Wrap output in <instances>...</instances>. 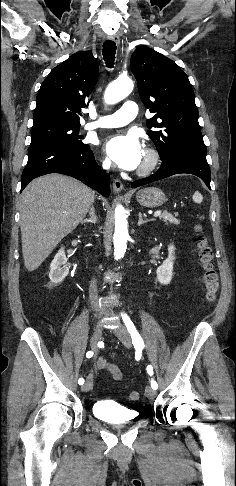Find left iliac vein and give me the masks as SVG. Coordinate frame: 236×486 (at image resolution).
Returning a JSON list of instances; mask_svg holds the SVG:
<instances>
[{
  "mask_svg": "<svg viewBox=\"0 0 236 486\" xmlns=\"http://www.w3.org/2000/svg\"><path fill=\"white\" fill-rule=\"evenodd\" d=\"M114 333L125 347H131V338L125 326L120 324L117 328L114 329ZM145 394L149 399H153L157 393L155 389L147 386L145 389Z\"/></svg>",
  "mask_w": 236,
  "mask_h": 486,
  "instance_id": "left-iliac-vein-1",
  "label": "left iliac vein"
}]
</instances>
